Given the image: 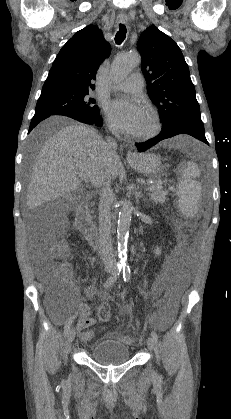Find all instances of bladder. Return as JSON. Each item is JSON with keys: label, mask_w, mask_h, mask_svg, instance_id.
<instances>
[{"label": "bladder", "mask_w": 231, "mask_h": 419, "mask_svg": "<svg viewBox=\"0 0 231 419\" xmlns=\"http://www.w3.org/2000/svg\"><path fill=\"white\" fill-rule=\"evenodd\" d=\"M92 361L102 365H118L127 362L130 357L128 346L117 339H107L98 342L91 350Z\"/></svg>", "instance_id": "1"}]
</instances>
